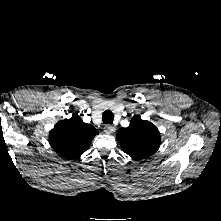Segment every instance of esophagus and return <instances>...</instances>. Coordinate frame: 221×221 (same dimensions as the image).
Here are the masks:
<instances>
[{
    "mask_svg": "<svg viewBox=\"0 0 221 221\" xmlns=\"http://www.w3.org/2000/svg\"><path fill=\"white\" fill-rule=\"evenodd\" d=\"M104 131L107 133V134H112L115 132V127L111 126V125H105L104 127Z\"/></svg>",
    "mask_w": 221,
    "mask_h": 221,
    "instance_id": "esophagus-1",
    "label": "esophagus"
}]
</instances>
